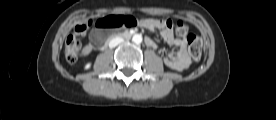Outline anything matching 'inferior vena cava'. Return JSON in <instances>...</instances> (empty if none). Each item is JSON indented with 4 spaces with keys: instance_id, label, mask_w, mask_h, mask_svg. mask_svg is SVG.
I'll return each instance as SVG.
<instances>
[{
    "instance_id": "inferior-vena-cava-1",
    "label": "inferior vena cava",
    "mask_w": 276,
    "mask_h": 120,
    "mask_svg": "<svg viewBox=\"0 0 276 120\" xmlns=\"http://www.w3.org/2000/svg\"><path fill=\"white\" fill-rule=\"evenodd\" d=\"M124 40L122 38H114L110 41L109 43V47L110 48H114L116 47L117 45H119L120 43H122Z\"/></svg>"
}]
</instances>
